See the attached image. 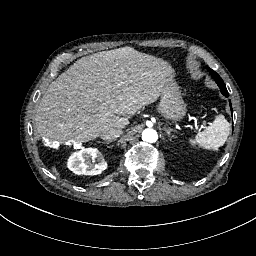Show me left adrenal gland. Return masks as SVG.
<instances>
[{"label":"left adrenal gland","instance_id":"1","mask_svg":"<svg viewBox=\"0 0 256 256\" xmlns=\"http://www.w3.org/2000/svg\"><path fill=\"white\" fill-rule=\"evenodd\" d=\"M164 131L168 134V136L171 135V132H177L176 130L166 126L164 127Z\"/></svg>","mask_w":256,"mask_h":256}]
</instances>
